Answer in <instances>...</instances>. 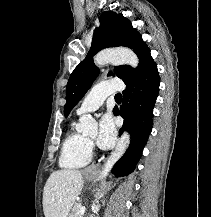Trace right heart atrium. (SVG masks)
I'll list each match as a JSON object with an SVG mask.
<instances>
[{
    "mask_svg": "<svg viewBox=\"0 0 211 217\" xmlns=\"http://www.w3.org/2000/svg\"><path fill=\"white\" fill-rule=\"evenodd\" d=\"M89 146H90V148L92 147V144L89 142Z\"/></svg>",
    "mask_w": 211,
    "mask_h": 217,
    "instance_id": "right-heart-atrium-1",
    "label": "right heart atrium"
}]
</instances>
